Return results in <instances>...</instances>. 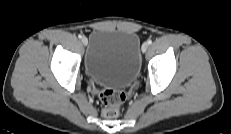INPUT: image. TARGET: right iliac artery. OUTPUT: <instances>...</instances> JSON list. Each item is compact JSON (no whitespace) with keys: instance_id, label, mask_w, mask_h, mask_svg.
Returning <instances> with one entry per match:
<instances>
[{"instance_id":"right-iliac-artery-1","label":"right iliac artery","mask_w":231,"mask_h":134,"mask_svg":"<svg viewBox=\"0 0 231 134\" xmlns=\"http://www.w3.org/2000/svg\"><path fill=\"white\" fill-rule=\"evenodd\" d=\"M78 37H79V38H82V35H81V34H79V35H78Z\"/></svg>"}]
</instances>
